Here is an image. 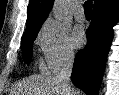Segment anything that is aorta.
<instances>
[{
	"label": "aorta",
	"instance_id": "aorta-1",
	"mask_svg": "<svg viewBox=\"0 0 119 95\" xmlns=\"http://www.w3.org/2000/svg\"><path fill=\"white\" fill-rule=\"evenodd\" d=\"M55 19L62 20L68 12L67 0H56L52 8Z\"/></svg>",
	"mask_w": 119,
	"mask_h": 95
}]
</instances>
